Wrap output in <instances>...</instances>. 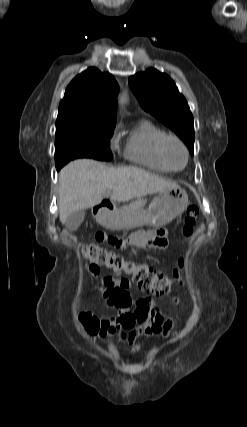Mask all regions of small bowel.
<instances>
[{
  "label": "small bowel",
  "mask_w": 247,
  "mask_h": 427,
  "mask_svg": "<svg viewBox=\"0 0 247 427\" xmlns=\"http://www.w3.org/2000/svg\"><path fill=\"white\" fill-rule=\"evenodd\" d=\"M96 239L97 244H106L113 250H123L128 243L124 238L103 229L96 231ZM130 243L138 247L148 244L156 249L166 250L168 234L163 229L138 231L130 236ZM89 271L95 278L100 274L96 264H91ZM131 287V281L125 278L107 277L102 280V296L110 307L116 309L115 314L104 321L105 331L109 334L121 332L122 340L129 345H135L143 337L167 336L172 321L165 317L149 298L134 299L129 292Z\"/></svg>",
  "instance_id": "obj_1"
}]
</instances>
